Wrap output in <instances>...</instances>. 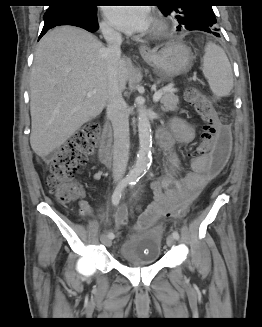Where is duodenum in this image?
<instances>
[{
	"instance_id": "obj_1",
	"label": "duodenum",
	"mask_w": 262,
	"mask_h": 327,
	"mask_svg": "<svg viewBox=\"0 0 262 327\" xmlns=\"http://www.w3.org/2000/svg\"><path fill=\"white\" fill-rule=\"evenodd\" d=\"M99 157L104 163H109L112 158V129L108 122L104 124L102 130Z\"/></svg>"
}]
</instances>
